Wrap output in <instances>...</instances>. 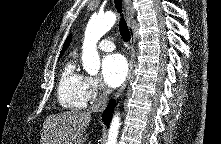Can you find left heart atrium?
I'll use <instances>...</instances> for the list:
<instances>
[{
  "label": "left heart atrium",
  "instance_id": "left-heart-atrium-1",
  "mask_svg": "<svg viewBox=\"0 0 221 144\" xmlns=\"http://www.w3.org/2000/svg\"><path fill=\"white\" fill-rule=\"evenodd\" d=\"M128 66L121 54H111L102 61V76L105 84L111 88L121 85L127 76Z\"/></svg>",
  "mask_w": 221,
  "mask_h": 144
}]
</instances>
